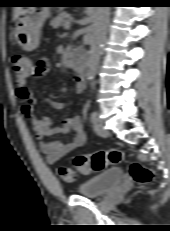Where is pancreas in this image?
I'll list each match as a JSON object with an SVG mask.
<instances>
[{
    "mask_svg": "<svg viewBox=\"0 0 170 231\" xmlns=\"http://www.w3.org/2000/svg\"><path fill=\"white\" fill-rule=\"evenodd\" d=\"M68 19H69V14L66 12H61L51 20L50 25L53 28H58L60 26H64L65 23L68 22Z\"/></svg>",
    "mask_w": 170,
    "mask_h": 231,
    "instance_id": "obj_1",
    "label": "pancreas"
}]
</instances>
